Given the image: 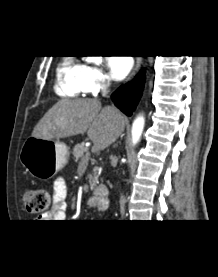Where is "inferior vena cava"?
Segmentation results:
<instances>
[{
  "mask_svg": "<svg viewBox=\"0 0 218 277\" xmlns=\"http://www.w3.org/2000/svg\"><path fill=\"white\" fill-rule=\"evenodd\" d=\"M108 86H109L108 83L102 84L101 90H102L103 96H106L108 94V92H109ZM120 212H121L122 217H124V215H125V198L123 195L120 196Z\"/></svg>",
  "mask_w": 218,
  "mask_h": 277,
  "instance_id": "obj_1",
  "label": "inferior vena cava"
}]
</instances>
